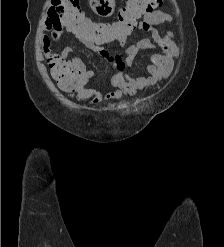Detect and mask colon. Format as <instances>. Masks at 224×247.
Returning <instances> with one entry per match:
<instances>
[{
  "label": "colon",
  "instance_id": "1",
  "mask_svg": "<svg viewBox=\"0 0 224 247\" xmlns=\"http://www.w3.org/2000/svg\"><path fill=\"white\" fill-rule=\"evenodd\" d=\"M163 4V0H127L118 9L117 18L111 22H95L81 10L78 0H52L63 23L82 39L111 42L127 37L137 26L138 21ZM51 74L58 84L67 90H79L81 99H87L85 90L81 88L86 76L85 66L78 61L54 58L49 63ZM118 69L124 67L123 61L117 57Z\"/></svg>",
  "mask_w": 224,
  "mask_h": 247
}]
</instances>
